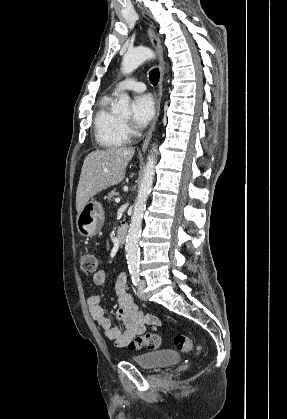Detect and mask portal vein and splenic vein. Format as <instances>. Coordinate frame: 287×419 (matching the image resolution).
Listing matches in <instances>:
<instances>
[{"label":"portal vein and splenic vein","instance_id":"portal-vein-and-splenic-vein-1","mask_svg":"<svg viewBox=\"0 0 287 419\" xmlns=\"http://www.w3.org/2000/svg\"><path fill=\"white\" fill-rule=\"evenodd\" d=\"M115 202H116V203H119V202H120V198H119V197H118V198H116V199H115Z\"/></svg>","mask_w":287,"mask_h":419}]
</instances>
